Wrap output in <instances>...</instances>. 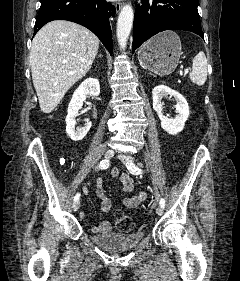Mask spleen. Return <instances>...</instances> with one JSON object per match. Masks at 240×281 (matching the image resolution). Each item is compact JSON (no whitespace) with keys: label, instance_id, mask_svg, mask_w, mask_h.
<instances>
[{"label":"spleen","instance_id":"1","mask_svg":"<svg viewBox=\"0 0 240 281\" xmlns=\"http://www.w3.org/2000/svg\"><path fill=\"white\" fill-rule=\"evenodd\" d=\"M207 59L203 52H199L192 60V71L189 78L192 83L201 86L207 79Z\"/></svg>","mask_w":240,"mask_h":281}]
</instances>
